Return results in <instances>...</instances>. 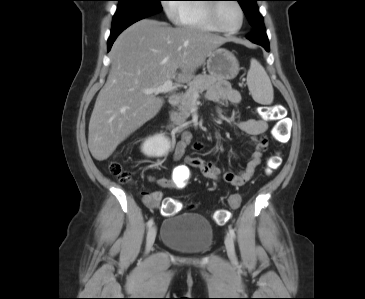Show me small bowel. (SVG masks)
I'll use <instances>...</instances> for the list:
<instances>
[{"label": "small bowel", "instance_id": "1", "mask_svg": "<svg viewBox=\"0 0 365 299\" xmlns=\"http://www.w3.org/2000/svg\"><path fill=\"white\" fill-rule=\"evenodd\" d=\"M207 98L210 102L220 105L237 104L241 100L240 93L225 82H220L212 87L207 93ZM237 127L252 139L253 149L244 169L239 172L223 171L219 165L213 162L198 157H186L185 164L177 166L171 178H159L157 183L164 188H177L180 185V177L192 167L198 169L201 175L207 179L218 180L221 178L235 187L245 185L255 175L256 168L261 164L262 157L267 149L268 143L264 134L268 129V124L265 120L251 118L238 121ZM190 142V132L187 130L182 131L180 140L174 150V159L180 160L184 157ZM195 148L200 149L201 145L195 144ZM162 198L163 194L160 191L147 193L144 196L146 206L151 209L159 208Z\"/></svg>", "mask_w": 365, "mask_h": 299}]
</instances>
